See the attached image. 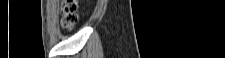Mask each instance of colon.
<instances>
[{"label": "colon", "instance_id": "obj_1", "mask_svg": "<svg viewBox=\"0 0 225 58\" xmlns=\"http://www.w3.org/2000/svg\"><path fill=\"white\" fill-rule=\"evenodd\" d=\"M77 5L74 0H66L63 3V17L62 23L63 26L68 29L72 30L78 23V15L76 13Z\"/></svg>", "mask_w": 225, "mask_h": 58}]
</instances>
